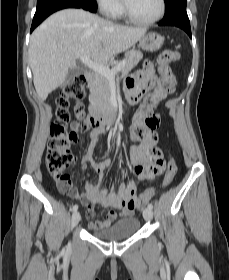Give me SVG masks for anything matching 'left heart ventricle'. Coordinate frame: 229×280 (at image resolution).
I'll return each mask as SVG.
<instances>
[{
  "label": "left heart ventricle",
  "instance_id": "1",
  "mask_svg": "<svg viewBox=\"0 0 229 280\" xmlns=\"http://www.w3.org/2000/svg\"><path fill=\"white\" fill-rule=\"evenodd\" d=\"M131 14L139 19H150L160 9L159 0H125Z\"/></svg>",
  "mask_w": 229,
  "mask_h": 280
}]
</instances>
